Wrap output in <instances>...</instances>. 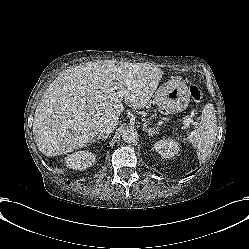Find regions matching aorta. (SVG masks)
<instances>
[{"label":"aorta","instance_id":"1","mask_svg":"<svg viewBox=\"0 0 249 249\" xmlns=\"http://www.w3.org/2000/svg\"><path fill=\"white\" fill-rule=\"evenodd\" d=\"M122 139L126 143H134L137 140V133L133 129H126L122 133Z\"/></svg>","mask_w":249,"mask_h":249}]
</instances>
